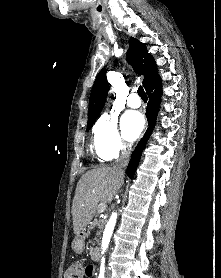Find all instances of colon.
Returning a JSON list of instances; mask_svg holds the SVG:
<instances>
[{"mask_svg":"<svg viewBox=\"0 0 221 278\" xmlns=\"http://www.w3.org/2000/svg\"><path fill=\"white\" fill-rule=\"evenodd\" d=\"M90 270V265L84 266L80 262H74L67 267L66 278H84L87 277Z\"/></svg>","mask_w":221,"mask_h":278,"instance_id":"obj_1","label":"colon"}]
</instances>
